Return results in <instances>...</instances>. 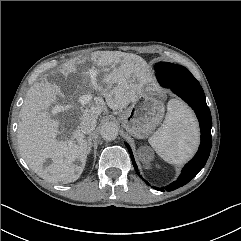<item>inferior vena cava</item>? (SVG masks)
Segmentation results:
<instances>
[{"label":"inferior vena cava","mask_w":241,"mask_h":241,"mask_svg":"<svg viewBox=\"0 0 241 241\" xmlns=\"http://www.w3.org/2000/svg\"><path fill=\"white\" fill-rule=\"evenodd\" d=\"M96 117L92 114H84L79 125L80 131L84 134L91 133L96 127Z\"/></svg>","instance_id":"obj_1"}]
</instances>
